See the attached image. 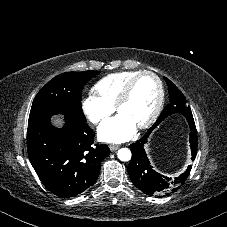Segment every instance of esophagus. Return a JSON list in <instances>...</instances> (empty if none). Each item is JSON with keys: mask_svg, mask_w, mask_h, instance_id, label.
Returning a JSON list of instances; mask_svg holds the SVG:
<instances>
[{"mask_svg": "<svg viewBox=\"0 0 227 227\" xmlns=\"http://www.w3.org/2000/svg\"><path fill=\"white\" fill-rule=\"evenodd\" d=\"M118 148H119L118 145H109V149H110L111 151H116Z\"/></svg>", "mask_w": 227, "mask_h": 227, "instance_id": "esophagus-1", "label": "esophagus"}]
</instances>
